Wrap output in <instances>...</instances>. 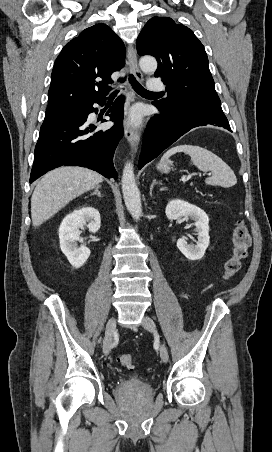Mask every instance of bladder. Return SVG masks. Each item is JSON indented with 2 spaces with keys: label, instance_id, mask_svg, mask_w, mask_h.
<instances>
[{
  "label": "bladder",
  "instance_id": "31cf9c89",
  "mask_svg": "<svg viewBox=\"0 0 272 452\" xmlns=\"http://www.w3.org/2000/svg\"><path fill=\"white\" fill-rule=\"evenodd\" d=\"M132 381L135 384H137V385H145V384H147V381H146L145 377H142V376L134 377L132 379Z\"/></svg>",
  "mask_w": 272,
  "mask_h": 452
}]
</instances>
